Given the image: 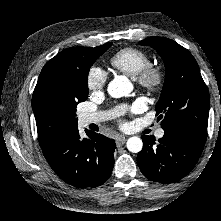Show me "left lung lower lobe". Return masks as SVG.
Returning a JSON list of instances; mask_svg holds the SVG:
<instances>
[{
  "mask_svg": "<svg viewBox=\"0 0 221 221\" xmlns=\"http://www.w3.org/2000/svg\"><path fill=\"white\" fill-rule=\"evenodd\" d=\"M164 132L158 143L154 136H141L143 149L138 153L137 163L145 177L168 184L190 173L203 151L206 140L186 132Z\"/></svg>",
  "mask_w": 221,
  "mask_h": 221,
  "instance_id": "left-lung-lower-lobe-1",
  "label": "left lung lower lobe"
}]
</instances>
